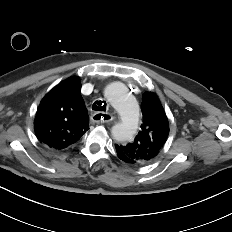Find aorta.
I'll use <instances>...</instances> for the list:
<instances>
[{
	"label": "aorta",
	"mask_w": 232,
	"mask_h": 232,
	"mask_svg": "<svg viewBox=\"0 0 232 232\" xmlns=\"http://www.w3.org/2000/svg\"><path fill=\"white\" fill-rule=\"evenodd\" d=\"M104 94L121 116V122L112 127L113 138L119 142L132 139L139 125V107L136 100L120 82L108 85Z\"/></svg>",
	"instance_id": "aorta-1"
}]
</instances>
